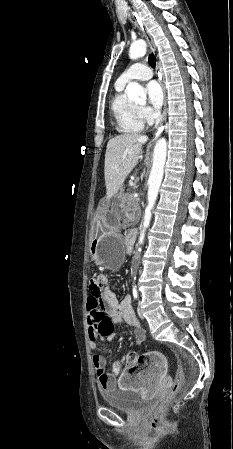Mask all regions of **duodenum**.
Listing matches in <instances>:
<instances>
[{"mask_svg":"<svg viewBox=\"0 0 233 449\" xmlns=\"http://www.w3.org/2000/svg\"><path fill=\"white\" fill-rule=\"evenodd\" d=\"M136 231L132 230L129 234V236L126 239V248L128 252H131L133 250L135 240H136Z\"/></svg>","mask_w":233,"mask_h":449,"instance_id":"1","label":"duodenum"}]
</instances>
